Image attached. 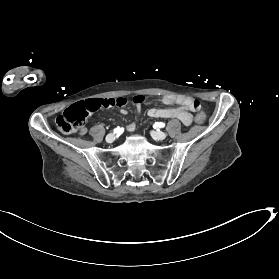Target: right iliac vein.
Segmentation results:
<instances>
[{
    "mask_svg": "<svg viewBox=\"0 0 279 279\" xmlns=\"http://www.w3.org/2000/svg\"><path fill=\"white\" fill-rule=\"evenodd\" d=\"M114 139H115V135L113 133L108 134L105 138L106 142L108 143H112Z\"/></svg>",
    "mask_w": 279,
    "mask_h": 279,
    "instance_id": "right-iliac-vein-1",
    "label": "right iliac vein"
}]
</instances>
